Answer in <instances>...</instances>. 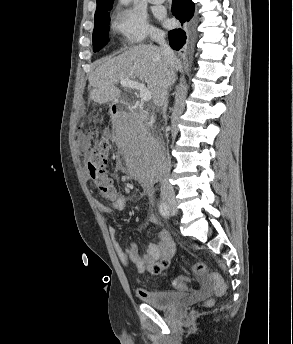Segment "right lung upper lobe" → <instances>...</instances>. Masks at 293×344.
<instances>
[{
	"label": "right lung upper lobe",
	"mask_w": 293,
	"mask_h": 344,
	"mask_svg": "<svg viewBox=\"0 0 293 344\" xmlns=\"http://www.w3.org/2000/svg\"><path fill=\"white\" fill-rule=\"evenodd\" d=\"M96 2H97L96 10L102 9L104 7H107L113 4V0H96Z\"/></svg>",
	"instance_id": "obj_1"
}]
</instances>
